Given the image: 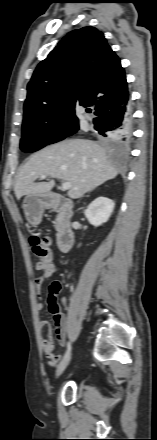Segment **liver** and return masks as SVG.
I'll return each mask as SVG.
<instances>
[{
	"label": "liver",
	"mask_w": 157,
	"mask_h": 440,
	"mask_svg": "<svg viewBox=\"0 0 157 440\" xmlns=\"http://www.w3.org/2000/svg\"><path fill=\"white\" fill-rule=\"evenodd\" d=\"M42 175L52 179L35 183ZM117 175L104 148L90 140L71 139L31 155L19 170L14 192L17 199L28 195L43 196L54 187V179H62L71 183L68 196L78 199Z\"/></svg>",
	"instance_id": "1"
}]
</instances>
